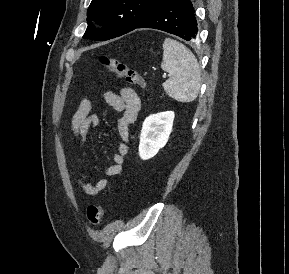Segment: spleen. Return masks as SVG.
<instances>
[{
    "mask_svg": "<svg viewBox=\"0 0 289 274\" xmlns=\"http://www.w3.org/2000/svg\"><path fill=\"white\" fill-rule=\"evenodd\" d=\"M161 68L170 75L163 83L166 93L180 102L196 99L200 90L201 70L194 54L182 43L166 38Z\"/></svg>",
    "mask_w": 289,
    "mask_h": 274,
    "instance_id": "1",
    "label": "spleen"
}]
</instances>
